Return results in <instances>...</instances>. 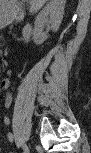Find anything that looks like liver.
Listing matches in <instances>:
<instances>
[{"label": "liver", "instance_id": "obj_1", "mask_svg": "<svg viewBox=\"0 0 91 153\" xmlns=\"http://www.w3.org/2000/svg\"><path fill=\"white\" fill-rule=\"evenodd\" d=\"M46 0H30V11L32 13L37 12L44 4Z\"/></svg>", "mask_w": 91, "mask_h": 153}]
</instances>
